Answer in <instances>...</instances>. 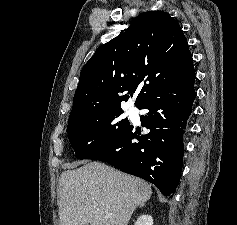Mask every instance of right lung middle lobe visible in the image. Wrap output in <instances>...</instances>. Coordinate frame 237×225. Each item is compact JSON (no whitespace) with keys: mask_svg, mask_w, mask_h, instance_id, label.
Instances as JSON below:
<instances>
[{"mask_svg":"<svg viewBox=\"0 0 237 225\" xmlns=\"http://www.w3.org/2000/svg\"><path fill=\"white\" fill-rule=\"evenodd\" d=\"M123 110H111L84 121L68 124L67 132L76 158L87 159L110 146L130 126Z\"/></svg>","mask_w":237,"mask_h":225,"instance_id":"1","label":"right lung middle lobe"}]
</instances>
